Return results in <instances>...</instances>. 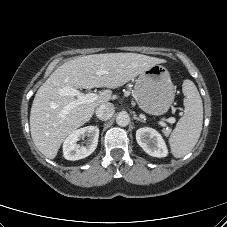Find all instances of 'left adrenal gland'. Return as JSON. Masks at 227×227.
<instances>
[{"label": "left adrenal gland", "mask_w": 227, "mask_h": 227, "mask_svg": "<svg viewBox=\"0 0 227 227\" xmlns=\"http://www.w3.org/2000/svg\"><path fill=\"white\" fill-rule=\"evenodd\" d=\"M134 119L137 120V121H140V122L145 123V120H143V119L137 117L136 115H134Z\"/></svg>", "instance_id": "1"}]
</instances>
